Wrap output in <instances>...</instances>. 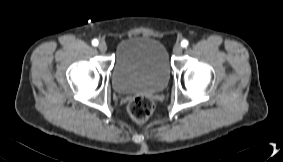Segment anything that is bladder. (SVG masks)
Returning a JSON list of instances; mask_svg holds the SVG:
<instances>
[{"mask_svg":"<svg viewBox=\"0 0 283 162\" xmlns=\"http://www.w3.org/2000/svg\"><path fill=\"white\" fill-rule=\"evenodd\" d=\"M170 73L168 53L159 40L131 36L117 44L111 72L117 93L161 91L167 86Z\"/></svg>","mask_w":283,"mask_h":162,"instance_id":"1","label":"bladder"}]
</instances>
